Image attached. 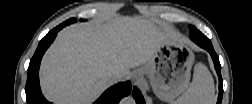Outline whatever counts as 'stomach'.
Segmentation results:
<instances>
[{
  "mask_svg": "<svg viewBox=\"0 0 252 104\" xmlns=\"http://www.w3.org/2000/svg\"><path fill=\"white\" fill-rule=\"evenodd\" d=\"M193 62L194 54L190 48L177 38H170L137 72L149 78L159 99L175 103L188 87Z\"/></svg>",
  "mask_w": 252,
  "mask_h": 104,
  "instance_id": "obj_1",
  "label": "stomach"
}]
</instances>
